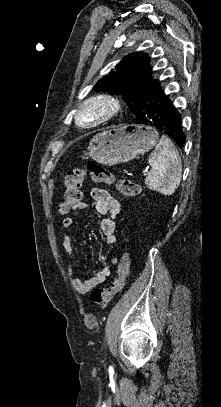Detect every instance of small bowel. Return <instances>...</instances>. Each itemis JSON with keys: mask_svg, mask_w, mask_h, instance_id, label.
<instances>
[{"mask_svg": "<svg viewBox=\"0 0 221 407\" xmlns=\"http://www.w3.org/2000/svg\"><path fill=\"white\" fill-rule=\"evenodd\" d=\"M90 194L95 202L96 211L105 215V218L100 224L105 242L109 245H113L117 240L116 220L120 213V202L113 198L106 190L101 188H92ZM88 207L89 204L87 202L81 201L75 207H73L72 210L77 211ZM73 225L74 221L71 217L63 218L62 226L64 229L69 230L73 227ZM62 246L71 260L67 269L71 285L79 294L90 293L94 288L103 284L110 276L111 266L103 257L101 258L103 266L99 272L95 276L87 280H83L79 275L74 273L73 261L76 258V251L73 246V240L67 233H63L62 235Z\"/></svg>", "mask_w": 221, "mask_h": 407, "instance_id": "small-bowel-1", "label": "small bowel"}]
</instances>
